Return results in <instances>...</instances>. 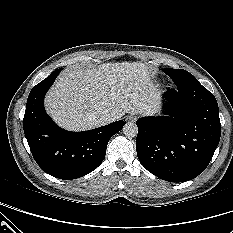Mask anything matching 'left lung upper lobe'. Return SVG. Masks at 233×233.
Listing matches in <instances>:
<instances>
[{"instance_id":"5c2ea615","label":"left lung upper lobe","mask_w":233,"mask_h":233,"mask_svg":"<svg viewBox=\"0 0 233 233\" xmlns=\"http://www.w3.org/2000/svg\"><path fill=\"white\" fill-rule=\"evenodd\" d=\"M163 72L174 80L176 86L198 81L191 73L183 69L165 68Z\"/></svg>"}]
</instances>
